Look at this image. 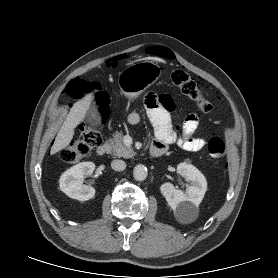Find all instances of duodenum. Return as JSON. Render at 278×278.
Masks as SVG:
<instances>
[{
    "label": "duodenum",
    "mask_w": 278,
    "mask_h": 278,
    "mask_svg": "<svg viewBox=\"0 0 278 278\" xmlns=\"http://www.w3.org/2000/svg\"><path fill=\"white\" fill-rule=\"evenodd\" d=\"M110 146L108 143H102L98 146L96 153L99 156H104L109 152ZM165 148L161 145L153 144L150 149V155L152 157H160L165 153Z\"/></svg>",
    "instance_id": "duodenum-1"
}]
</instances>
